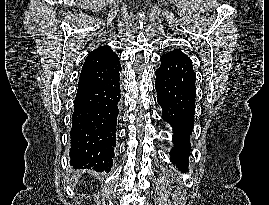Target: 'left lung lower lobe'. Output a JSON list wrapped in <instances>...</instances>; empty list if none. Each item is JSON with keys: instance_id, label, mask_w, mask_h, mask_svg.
I'll list each match as a JSON object with an SVG mask.
<instances>
[{"instance_id": "1", "label": "left lung lower lobe", "mask_w": 269, "mask_h": 205, "mask_svg": "<svg viewBox=\"0 0 269 205\" xmlns=\"http://www.w3.org/2000/svg\"><path fill=\"white\" fill-rule=\"evenodd\" d=\"M156 70L155 89L162 107V118L174 132L175 148L170 151L171 161L186 171L190 151L189 136L194 126L196 75L192 61L185 56L165 54Z\"/></svg>"}]
</instances>
